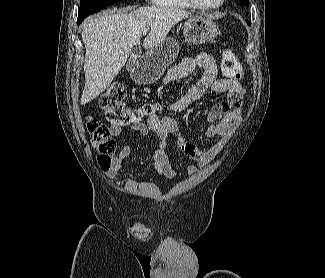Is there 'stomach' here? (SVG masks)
<instances>
[{
	"mask_svg": "<svg viewBox=\"0 0 325 278\" xmlns=\"http://www.w3.org/2000/svg\"><path fill=\"white\" fill-rule=\"evenodd\" d=\"M218 34L219 29L216 23L203 15L189 18L183 28L185 42L190 45L210 42ZM178 52V42L172 37H166L148 50L144 61L133 69V80L139 84L156 82L163 75L165 69L175 60Z\"/></svg>",
	"mask_w": 325,
	"mask_h": 278,
	"instance_id": "obj_1",
	"label": "stomach"
}]
</instances>
